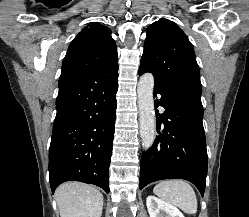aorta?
<instances>
[{
    "label": "aorta",
    "instance_id": "aorta-1",
    "mask_svg": "<svg viewBox=\"0 0 249 217\" xmlns=\"http://www.w3.org/2000/svg\"><path fill=\"white\" fill-rule=\"evenodd\" d=\"M154 76L143 74L138 82L137 96L139 107L140 137L143 147L149 149L155 140L156 118L153 100Z\"/></svg>",
    "mask_w": 249,
    "mask_h": 217
}]
</instances>
